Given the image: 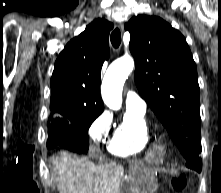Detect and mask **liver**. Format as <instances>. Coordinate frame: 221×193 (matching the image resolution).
<instances>
[{"mask_svg":"<svg viewBox=\"0 0 221 193\" xmlns=\"http://www.w3.org/2000/svg\"><path fill=\"white\" fill-rule=\"evenodd\" d=\"M52 176L59 193H119L123 168L114 162L95 164L63 152L53 156Z\"/></svg>","mask_w":221,"mask_h":193,"instance_id":"liver-1","label":"liver"}]
</instances>
